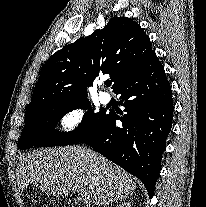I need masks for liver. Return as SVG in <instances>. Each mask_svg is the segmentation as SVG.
I'll use <instances>...</instances> for the list:
<instances>
[{"label":"liver","instance_id":"6515ba94","mask_svg":"<svg viewBox=\"0 0 206 207\" xmlns=\"http://www.w3.org/2000/svg\"><path fill=\"white\" fill-rule=\"evenodd\" d=\"M16 178L21 191L33 184L57 198L69 194V185H78L88 202L99 206L125 199L136 189L125 170L81 146L33 150L19 161Z\"/></svg>","mask_w":206,"mask_h":207}]
</instances>
